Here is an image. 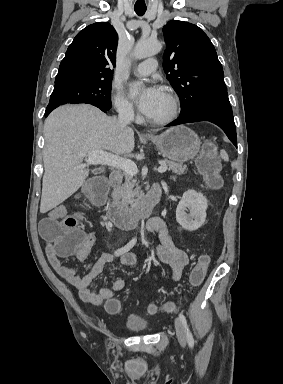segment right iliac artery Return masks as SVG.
Listing matches in <instances>:
<instances>
[{"mask_svg":"<svg viewBox=\"0 0 283 384\" xmlns=\"http://www.w3.org/2000/svg\"><path fill=\"white\" fill-rule=\"evenodd\" d=\"M136 243V238H133L131 239L124 247L122 248H119L117 249L115 252H114V255L115 256H120L126 252H128L130 249L133 248V246L135 245Z\"/></svg>","mask_w":283,"mask_h":384,"instance_id":"1","label":"right iliac artery"}]
</instances>
